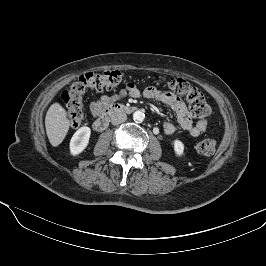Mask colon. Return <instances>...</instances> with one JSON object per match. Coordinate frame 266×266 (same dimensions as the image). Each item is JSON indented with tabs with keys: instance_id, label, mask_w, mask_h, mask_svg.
<instances>
[{
	"instance_id": "obj_1",
	"label": "colon",
	"mask_w": 266,
	"mask_h": 266,
	"mask_svg": "<svg viewBox=\"0 0 266 266\" xmlns=\"http://www.w3.org/2000/svg\"><path fill=\"white\" fill-rule=\"evenodd\" d=\"M121 72L105 71L102 73L89 72L81 75L69 88L63 92L62 99L67 106V114L71 127L81 125L83 113V96L89 90L102 91L115 89L122 81ZM170 92L186 99L192 114L199 120H206L210 113L209 105L200 90L191 86L183 79H171L167 82ZM216 149L213 138L201 140L197 146V152L203 157H211Z\"/></svg>"
}]
</instances>
